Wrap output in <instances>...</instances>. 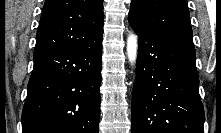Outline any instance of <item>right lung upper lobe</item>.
<instances>
[{
  "label": "right lung upper lobe",
  "mask_w": 221,
  "mask_h": 133,
  "mask_svg": "<svg viewBox=\"0 0 221 133\" xmlns=\"http://www.w3.org/2000/svg\"><path fill=\"white\" fill-rule=\"evenodd\" d=\"M103 0H46L34 54L82 45L103 31Z\"/></svg>",
  "instance_id": "right-lung-upper-lobe-1"
}]
</instances>
